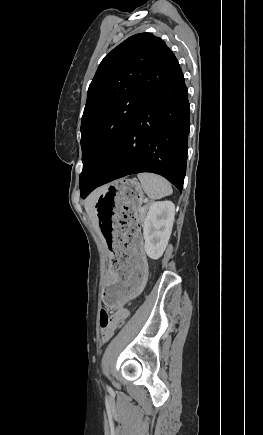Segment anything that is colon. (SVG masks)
Masks as SVG:
<instances>
[{
	"label": "colon",
	"instance_id": "1",
	"mask_svg": "<svg viewBox=\"0 0 263 435\" xmlns=\"http://www.w3.org/2000/svg\"><path fill=\"white\" fill-rule=\"evenodd\" d=\"M105 321H115V320L114 318H112L109 310L102 309L100 312V326H101L102 337L103 339L107 340L112 336L113 330H105L104 328ZM115 323H116V328H120V329L124 328L125 325L124 321H115Z\"/></svg>",
	"mask_w": 263,
	"mask_h": 435
}]
</instances>
